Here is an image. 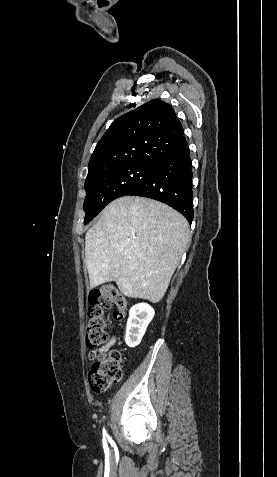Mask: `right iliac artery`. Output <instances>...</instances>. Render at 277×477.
Listing matches in <instances>:
<instances>
[{
	"mask_svg": "<svg viewBox=\"0 0 277 477\" xmlns=\"http://www.w3.org/2000/svg\"><path fill=\"white\" fill-rule=\"evenodd\" d=\"M103 435L107 436V433H106L105 429L103 430Z\"/></svg>",
	"mask_w": 277,
	"mask_h": 477,
	"instance_id": "obj_1",
	"label": "right iliac artery"
}]
</instances>
